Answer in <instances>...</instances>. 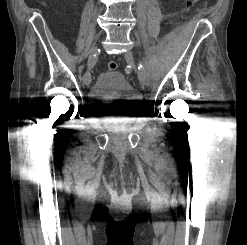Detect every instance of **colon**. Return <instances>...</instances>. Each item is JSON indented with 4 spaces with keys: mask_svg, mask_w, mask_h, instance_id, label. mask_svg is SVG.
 Wrapping results in <instances>:
<instances>
[{
    "mask_svg": "<svg viewBox=\"0 0 247 245\" xmlns=\"http://www.w3.org/2000/svg\"><path fill=\"white\" fill-rule=\"evenodd\" d=\"M197 0H185L184 6L186 9L190 8ZM107 67L111 71H115L118 68V64L115 61H110Z\"/></svg>",
    "mask_w": 247,
    "mask_h": 245,
    "instance_id": "5ec220e1",
    "label": "colon"
}]
</instances>
